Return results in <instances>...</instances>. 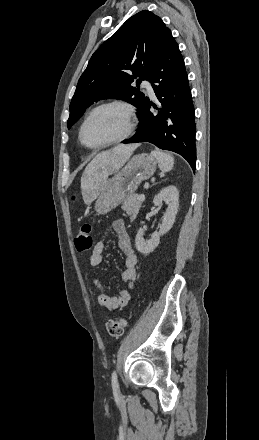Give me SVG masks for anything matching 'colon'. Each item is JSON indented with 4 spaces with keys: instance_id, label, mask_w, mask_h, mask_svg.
<instances>
[{
    "instance_id": "obj_1",
    "label": "colon",
    "mask_w": 259,
    "mask_h": 440,
    "mask_svg": "<svg viewBox=\"0 0 259 440\" xmlns=\"http://www.w3.org/2000/svg\"><path fill=\"white\" fill-rule=\"evenodd\" d=\"M92 246V227L89 223H83L78 228V233L75 238V247L78 252H85L90 250ZM126 326L127 321L124 318H112L106 323L108 334L113 338H120Z\"/></svg>"
}]
</instances>
